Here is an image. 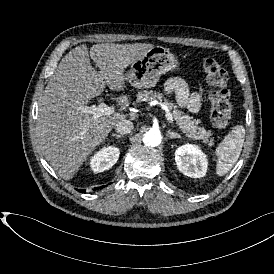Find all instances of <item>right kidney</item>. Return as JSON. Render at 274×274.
Here are the masks:
<instances>
[{
    "label": "right kidney",
    "mask_w": 274,
    "mask_h": 274,
    "mask_svg": "<svg viewBox=\"0 0 274 274\" xmlns=\"http://www.w3.org/2000/svg\"><path fill=\"white\" fill-rule=\"evenodd\" d=\"M120 150L115 146L102 147L90 159V168L94 173L109 170L119 159Z\"/></svg>",
    "instance_id": "1"
}]
</instances>
